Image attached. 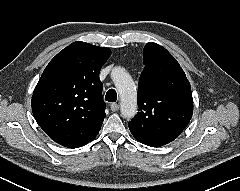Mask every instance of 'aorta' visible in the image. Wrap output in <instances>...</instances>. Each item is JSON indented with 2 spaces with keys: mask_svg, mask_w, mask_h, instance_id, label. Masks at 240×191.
Here are the masks:
<instances>
[{
  "mask_svg": "<svg viewBox=\"0 0 240 191\" xmlns=\"http://www.w3.org/2000/svg\"><path fill=\"white\" fill-rule=\"evenodd\" d=\"M111 77L120 95L122 117L133 118L137 113V93L134 81L127 71L121 67L114 68Z\"/></svg>",
  "mask_w": 240,
  "mask_h": 191,
  "instance_id": "obj_1",
  "label": "aorta"
}]
</instances>
